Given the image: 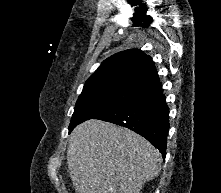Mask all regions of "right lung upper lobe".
Returning a JSON list of instances; mask_svg holds the SVG:
<instances>
[{"mask_svg":"<svg viewBox=\"0 0 221 193\" xmlns=\"http://www.w3.org/2000/svg\"><path fill=\"white\" fill-rule=\"evenodd\" d=\"M158 79L151 57L130 49L107 58L86 81L83 89L107 84L127 83L146 87Z\"/></svg>","mask_w":221,"mask_h":193,"instance_id":"right-lung-upper-lobe-1","label":"right lung upper lobe"}]
</instances>
